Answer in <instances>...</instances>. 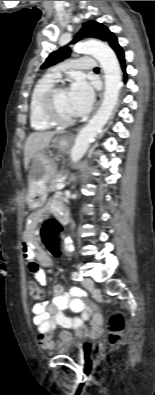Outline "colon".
Here are the masks:
<instances>
[{
    "label": "colon",
    "mask_w": 155,
    "mask_h": 395,
    "mask_svg": "<svg viewBox=\"0 0 155 395\" xmlns=\"http://www.w3.org/2000/svg\"><path fill=\"white\" fill-rule=\"evenodd\" d=\"M64 223H54L47 221L41 230L42 241L49 251L50 256H61L62 250L57 245L62 244L61 235L64 233ZM29 300L31 302H40L45 297L44 289L37 281L28 283ZM126 326V318L123 312H114L108 321L107 343L110 346H116L120 343Z\"/></svg>",
    "instance_id": "colon-1"
}]
</instances>
